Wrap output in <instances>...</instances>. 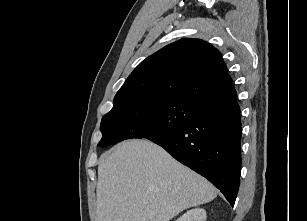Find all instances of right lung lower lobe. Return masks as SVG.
Segmentation results:
<instances>
[{"instance_id":"1","label":"right lung lower lobe","mask_w":307,"mask_h":221,"mask_svg":"<svg viewBox=\"0 0 307 221\" xmlns=\"http://www.w3.org/2000/svg\"><path fill=\"white\" fill-rule=\"evenodd\" d=\"M241 134L236 96L210 104L184 126L148 139L207 178L234 206L242 162Z\"/></svg>"}]
</instances>
